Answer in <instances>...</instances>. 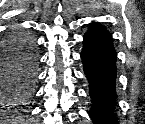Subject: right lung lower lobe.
<instances>
[{"label":"right lung lower lobe","mask_w":145,"mask_h":124,"mask_svg":"<svg viewBox=\"0 0 145 124\" xmlns=\"http://www.w3.org/2000/svg\"><path fill=\"white\" fill-rule=\"evenodd\" d=\"M0 60V104L13 114L31 105L36 85L37 50L31 35L9 39L6 55Z\"/></svg>","instance_id":"obj_1"}]
</instances>
